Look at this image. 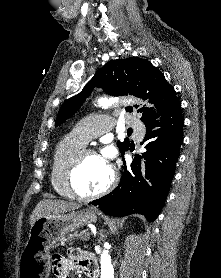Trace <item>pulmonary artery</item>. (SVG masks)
<instances>
[{
	"mask_svg": "<svg viewBox=\"0 0 221 278\" xmlns=\"http://www.w3.org/2000/svg\"><path fill=\"white\" fill-rule=\"evenodd\" d=\"M114 120L112 118L100 117L96 120L84 121L75 126L72 131V135L84 144L88 143L91 139L107 132ZM127 125L140 132L143 131L142 122L128 118L126 120Z\"/></svg>",
	"mask_w": 221,
	"mask_h": 278,
	"instance_id": "1",
	"label": "pulmonary artery"
}]
</instances>
